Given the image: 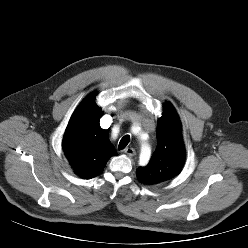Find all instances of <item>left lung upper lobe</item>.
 Wrapping results in <instances>:
<instances>
[{
  "label": "left lung upper lobe",
  "mask_w": 248,
  "mask_h": 248,
  "mask_svg": "<svg viewBox=\"0 0 248 248\" xmlns=\"http://www.w3.org/2000/svg\"><path fill=\"white\" fill-rule=\"evenodd\" d=\"M157 147L149 163L137 169L139 181L155 185L176 177L185 161V149L178 115L169 103L164 106L156 131Z\"/></svg>",
  "instance_id": "left-lung-upper-lobe-1"
}]
</instances>
